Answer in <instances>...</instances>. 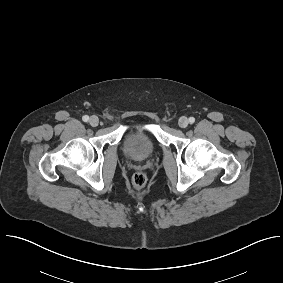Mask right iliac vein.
<instances>
[{"label":"right iliac vein","instance_id":"63e3f726","mask_svg":"<svg viewBox=\"0 0 283 283\" xmlns=\"http://www.w3.org/2000/svg\"><path fill=\"white\" fill-rule=\"evenodd\" d=\"M98 123H99V119H98L97 116H92V117L90 118V124H91V126L95 127V126L98 125Z\"/></svg>","mask_w":283,"mask_h":283}]
</instances>
